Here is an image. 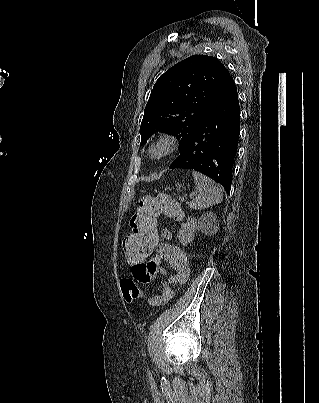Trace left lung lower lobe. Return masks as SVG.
<instances>
[{
  "label": "left lung lower lobe",
  "mask_w": 319,
  "mask_h": 403,
  "mask_svg": "<svg viewBox=\"0 0 319 403\" xmlns=\"http://www.w3.org/2000/svg\"><path fill=\"white\" fill-rule=\"evenodd\" d=\"M239 132L240 107L230 75L195 128L186 149L170 168L199 171L230 192Z\"/></svg>",
  "instance_id": "left-lung-lower-lobe-1"
}]
</instances>
